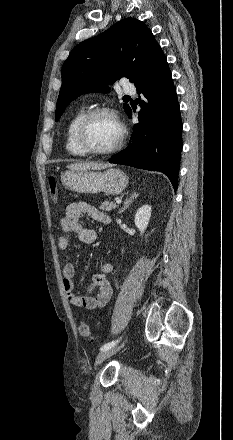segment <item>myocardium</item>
Instances as JSON below:
<instances>
[{"instance_id": "f54148a6", "label": "myocardium", "mask_w": 233, "mask_h": 440, "mask_svg": "<svg viewBox=\"0 0 233 440\" xmlns=\"http://www.w3.org/2000/svg\"><path fill=\"white\" fill-rule=\"evenodd\" d=\"M98 115H109L111 116L116 124L119 127V137L116 141V143L106 150H96L91 148L86 142H85V132L86 128L89 124V122ZM126 138V128L121 122L118 114L115 110L108 108V107H97L90 109L86 111V113L82 116L80 119L76 131H75V139L78 147L86 154V155H94V156H107L116 153L121 149V147L124 144Z\"/></svg>"}]
</instances>
